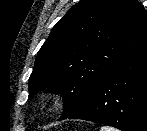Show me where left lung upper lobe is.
<instances>
[{
	"label": "left lung upper lobe",
	"mask_w": 147,
	"mask_h": 131,
	"mask_svg": "<svg viewBox=\"0 0 147 131\" xmlns=\"http://www.w3.org/2000/svg\"><path fill=\"white\" fill-rule=\"evenodd\" d=\"M147 42V13L136 0H81L53 27L29 78V97L62 93L63 120L79 110L106 74Z\"/></svg>",
	"instance_id": "left-lung-upper-lobe-1"
}]
</instances>
